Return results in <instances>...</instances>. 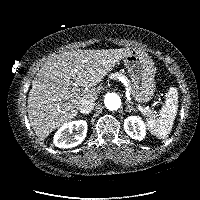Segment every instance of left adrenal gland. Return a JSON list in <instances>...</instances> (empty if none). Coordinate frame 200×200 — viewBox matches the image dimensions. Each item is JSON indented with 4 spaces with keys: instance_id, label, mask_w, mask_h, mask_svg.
<instances>
[{
    "instance_id": "obj_1",
    "label": "left adrenal gland",
    "mask_w": 200,
    "mask_h": 200,
    "mask_svg": "<svg viewBox=\"0 0 200 200\" xmlns=\"http://www.w3.org/2000/svg\"><path fill=\"white\" fill-rule=\"evenodd\" d=\"M126 104H127V106H126V111L127 112H131L132 110L135 111V108H133L127 101H126Z\"/></svg>"
}]
</instances>
